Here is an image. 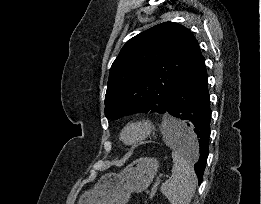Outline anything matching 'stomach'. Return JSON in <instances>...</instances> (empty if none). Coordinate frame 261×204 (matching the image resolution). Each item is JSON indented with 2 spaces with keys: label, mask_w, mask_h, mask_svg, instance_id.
Here are the masks:
<instances>
[{
  "label": "stomach",
  "mask_w": 261,
  "mask_h": 204,
  "mask_svg": "<svg viewBox=\"0 0 261 204\" xmlns=\"http://www.w3.org/2000/svg\"><path fill=\"white\" fill-rule=\"evenodd\" d=\"M158 167L156 158L136 159L119 173L102 175L92 189L82 193L78 204H126L131 193L148 188Z\"/></svg>",
  "instance_id": "1"
}]
</instances>
